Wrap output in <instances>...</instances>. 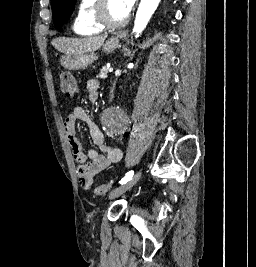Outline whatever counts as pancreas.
Wrapping results in <instances>:
<instances>
[{
  "instance_id": "1",
  "label": "pancreas",
  "mask_w": 256,
  "mask_h": 267,
  "mask_svg": "<svg viewBox=\"0 0 256 267\" xmlns=\"http://www.w3.org/2000/svg\"><path fill=\"white\" fill-rule=\"evenodd\" d=\"M107 76H108V68H106V66H103L99 74V78H107Z\"/></svg>"
}]
</instances>
